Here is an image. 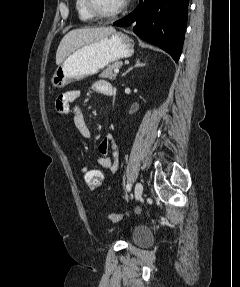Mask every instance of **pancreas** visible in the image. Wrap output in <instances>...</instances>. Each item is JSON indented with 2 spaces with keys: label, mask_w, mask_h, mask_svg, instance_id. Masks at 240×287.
<instances>
[{
  "label": "pancreas",
  "mask_w": 240,
  "mask_h": 287,
  "mask_svg": "<svg viewBox=\"0 0 240 287\" xmlns=\"http://www.w3.org/2000/svg\"><path fill=\"white\" fill-rule=\"evenodd\" d=\"M123 65L121 61H117L109 65L102 73L101 77L108 78L110 80H114L117 74L114 72L115 69L120 68Z\"/></svg>",
  "instance_id": "1"
}]
</instances>
